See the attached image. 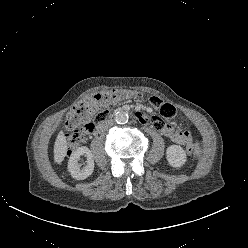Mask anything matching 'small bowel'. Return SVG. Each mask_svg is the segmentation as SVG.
I'll use <instances>...</instances> for the list:
<instances>
[{"mask_svg": "<svg viewBox=\"0 0 248 248\" xmlns=\"http://www.w3.org/2000/svg\"><path fill=\"white\" fill-rule=\"evenodd\" d=\"M148 106L156 111L159 117H151L145 113H142V122H151V126L160 131L164 136L171 139L178 145H184L192 141V134L188 131H177L173 126L168 124L169 120H175L179 118V111L176 106L168 103L158 97H150L148 99Z\"/></svg>", "mask_w": 248, "mask_h": 248, "instance_id": "1", "label": "small bowel"}]
</instances>
